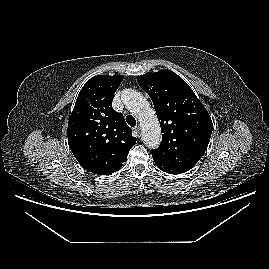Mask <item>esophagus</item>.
I'll use <instances>...</instances> for the list:
<instances>
[{"label": "esophagus", "instance_id": "obj_1", "mask_svg": "<svg viewBox=\"0 0 269 269\" xmlns=\"http://www.w3.org/2000/svg\"><path fill=\"white\" fill-rule=\"evenodd\" d=\"M134 130H135L138 134H140V130H141L140 125H136L135 128H134Z\"/></svg>", "mask_w": 269, "mask_h": 269}]
</instances>
